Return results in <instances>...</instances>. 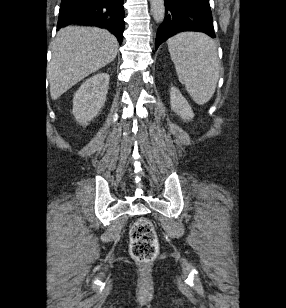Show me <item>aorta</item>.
<instances>
[{
	"label": "aorta",
	"mask_w": 286,
	"mask_h": 308,
	"mask_svg": "<svg viewBox=\"0 0 286 308\" xmlns=\"http://www.w3.org/2000/svg\"><path fill=\"white\" fill-rule=\"evenodd\" d=\"M150 6L156 23H162L165 17L164 0H150Z\"/></svg>",
	"instance_id": "aorta-1"
}]
</instances>
